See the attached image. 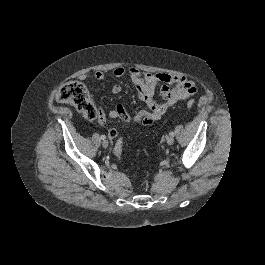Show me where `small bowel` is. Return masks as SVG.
<instances>
[{"label": "small bowel", "mask_w": 265, "mask_h": 265, "mask_svg": "<svg viewBox=\"0 0 265 265\" xmlns=\"http://www.w3.org/2000/svg\"><path fill=\"white\" fill-rule=\"evenodd\" d=\"M127 73L138 97L147 105L148 110H140L131 115L122 104H118L108 112V116L112 119H120L127 123H141L148 126L160 120L170 106L180 100L187 99L197 92L196 84L181 75L141 72L136 67L129 68ZM125 74L126 70L123 67H117L113 70V75L116 78H122ZM89 77L86 74H82L79 78L86 80ZM92 77L102 81L105 79V73L103 71H96ZM159 85H162V99L156 100L154 94ZM111 91L115 95L121 93V84H114ZM98 122L101 125L106 123V115L103 112H101ZM117 134L116 129L109 131L110 138H115Z\"/></svg>", "instance_id": "obj_1"}]
</instances>
